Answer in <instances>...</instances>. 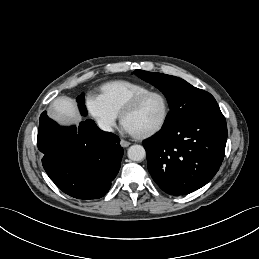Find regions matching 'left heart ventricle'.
Instances as JSON below:
<instances>
[{
  "instance_id": "left-heart-ventricle-1",
  "label": "left heart ventricle",
  "mask_w": 259,
  "mask_h": 259,
  "mask_svg": "<svg viewBox=\"0 0 259 259\" xmlns=\"http://www.w3.org/2000/svg\"><path fill=\"white\" fill-rule=\"evenodd\" d=\"M164 103L159 96L146 98L138 108L124 120L135 134H143L156 127L164 115Z\"/></svg>"
}]
</instances>
